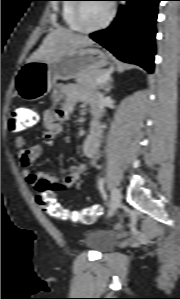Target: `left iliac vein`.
Instances as JSON below:
<instances>
[{
    "instance_id": "left-iliac-vein-1",
    "label": "left iliac vein",
    "mask_w": 180,
    "mask_h": 299,
    "mask_svg": "<svg viewBox=\"0 0 180 299\" xmlns=\"http://www.w3.org/2000/svg\"><path fill=\"white\" fill-rule=\"evenodd\" d=\"M120 205H121V192L118 188H113L111 193V201H110L108 216H112L114 212L119 208Z\"/></svg>"
}]
</instances>
